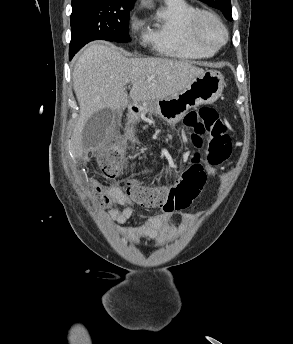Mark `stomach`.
<instances>
[{
    "instance_id": "1",
    "label": "stomach",
    "mask_w": 293,
    "mask_h": 344,
    "mask_svg": "<svg viewBox=\"0 0 293 344\" xmlns=\"http://www.w3.org/2000/svg\"><path fill=\"white\" fill-rule=\"evenodd\" d=\"M224 85V77L220 72L206 70L178 94L135 106L141 112L154 113L167 123L176 124L190 108L215 102L222 94Z\"/></svg>"
}]
</instances>
